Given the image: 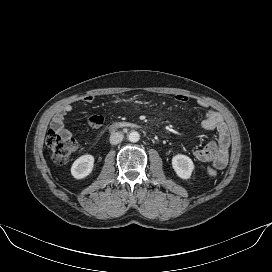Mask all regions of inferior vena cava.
<instances>
[{
	"label": "inferior vena cava",
	"mask_w": 272,
	"mask_h": 272,
	"mask_svg": "<svg viewBox=\"0 0 272 272\" xmlns=\"http://www.w3.org/2000/svg\"><path fill=\"white\" fill-rule=\"evenodd\" d=\"M123 134L121 132H113L110 135V143L115 145L120 143L123 140Z\"/></svg>",
	"instance_id": "1"
}]
</instances>
